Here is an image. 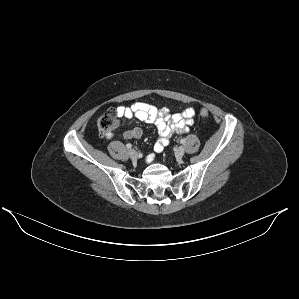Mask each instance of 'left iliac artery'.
Masks as SVG:
<instances>
[{"instance_id": "left-iliac-artery-1", "label": "left iliac artery", "mask_w": 299, "mask_h": 299, "mask_svg": "<svg viewBox=\"0 0 299 299\" xmlns=\"http://www.w3.org/2000/svg\"><path fill=\"white\" fill-rule=\"evenodd\" d=\"M180 143H181V144H184V143H185V139H181V140H180Z\"/></svg>"}]
</instances>
